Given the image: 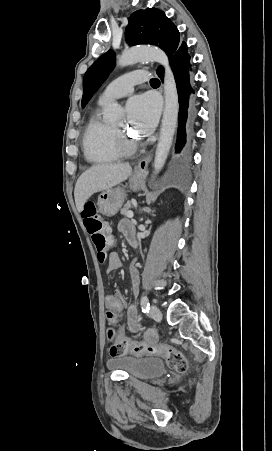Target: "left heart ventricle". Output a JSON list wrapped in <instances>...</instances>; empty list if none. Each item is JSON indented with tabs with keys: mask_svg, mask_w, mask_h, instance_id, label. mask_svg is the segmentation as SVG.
I'll use <instances>...</instances> for the list:
<instances>
[{
	"mask_svg": "<svg viewBox=\"0 0 272 451\" xmlns=\"http://www.w3.org/2000/svg\"><path fill=\"white\" fill-rule=\"evenodd\" d=\"M117 130H120V128L122 127V124L115 126Z\"/></svg>",
	"mask_w": 272,
	"mask_h": 451,
	"instance_id": "left-heart-ventricle-1",
	"label": "left heart ventricle"
}]
</instances>
